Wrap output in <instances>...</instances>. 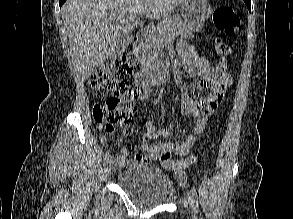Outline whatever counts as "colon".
<instances>
[{
	"instance_id": "1",
	"label": "colon",
	"mask_w": 293,
	"mask_h": 219,
	"mask_svg": "<svg viewBox=\"0 0 293 219\" xmlns=\"http://www.w3.org/2000/svg\"><path fill=\"white\" fill-rule=\"evenodd\" d=\"M213 18L217 29L227 36L237 33L240 29V18L231 7L217 8ZM230 50V45L223 39L216 41L214 51L218 56H225ZM139 56L138 50L133 49L123 56L103 64L89 78L90 86L100 97L106 99L104 102L95 103L93 117L98 126H101L108 134L114 133L116 126L129 124L131 116L136 111V100L141 91L130 82L129 78ZM216 69L218 72L226 74L227 61L221 58ZM159 157L167 167L177 173L179 178H181L182 170L197 160L196 154H191L181 160H172L170 150L163 151Z\"/></svg>"
}]
</instances>
